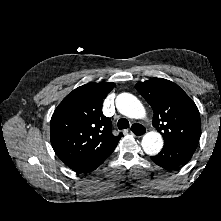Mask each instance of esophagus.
Wrapping results in <instances>:
<instances>
[{
    "instance_id": "obj_1",
    "label": "esophagus",
    "mask_w": 221,
    "mask_h": 221,
    "mask_svg": "<svg viewBox=\"0 0 221 221\" xmlns=\"http://www.w3.org/2000/svg\"><path fill=\"white\" fill-rule=\"evenodd\" d=\"M130 133L135 137H142L146 133V129L140 124H133Z\"/></svg>"
}]
</instances>
